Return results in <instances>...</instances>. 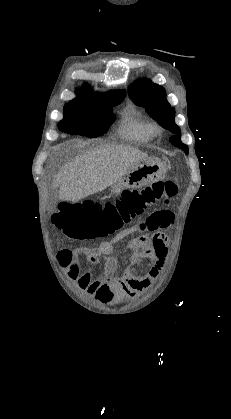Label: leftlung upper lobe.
Here are the masks:
<instances>
[{
	"label": "left lung upper lobe",
	"mask_w": 231,
	"mask_h": 419,
	"mask_svg": "<svg viewBox=\"0 0 231 419\" xmlns=\"http://www.w3.org/2000/svg\"><path fill=\"white\" fill-rule=\"evenodd\" d=\"M128 94L137 105L145 107L149 115L163 128L174 133L170 142L188 154L187 145L179 139L180 128L174 122L175 110L168 103L164 88L148 79H141L129 87Z\"/></svg>",
	"instance_id": "1"
}]
</instances>
